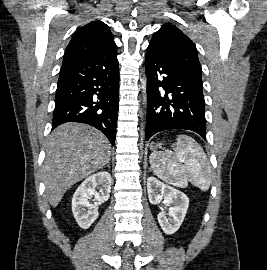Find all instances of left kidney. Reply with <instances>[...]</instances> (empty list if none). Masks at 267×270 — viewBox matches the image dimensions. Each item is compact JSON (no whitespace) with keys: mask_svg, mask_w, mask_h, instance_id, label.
I'll return each mask as SVG.
<instances>
[{"mask_svg":"<svg viewBox=\"0 0 267 270\" xmlns=\"http://www.w3.org/2000/svg\"><path fill=\"white\" fill-rule=\"evenodd\" d=\"M147 190L150 203L158 205L164 200L166 206L173 205L169 210L170 218L166 217L163 208L157 219L161 229L167 235L174 234L181 226L189 206V198L181 191L161 182L154 176L147 179Z\"/></svg>","mask_w":267,"mask_h":270,"instance_id":"5707ae66","label":"left kidney"}]
</instances>
